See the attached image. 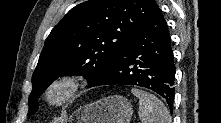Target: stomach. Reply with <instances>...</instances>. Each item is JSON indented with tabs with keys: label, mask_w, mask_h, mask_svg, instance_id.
<instances>
[{
	"label": "stomach",
	"mask_w": 221,
	"mask_h": 123,
	"mask_svg": "<svg viewBox=\"0 0 221 123\" xmlns=\"http://www.w3.org/2000/svg\"><path fill=\"white\" fill-rule=\"evenodd\" d=\"M133 106L118 95L108 96L79 107L69 118V123H130Z\"/></svg>",
	"instance_id": "1"
}]
</instances>
